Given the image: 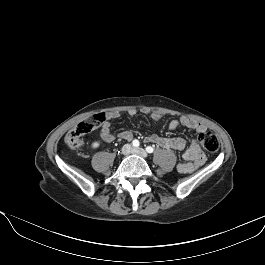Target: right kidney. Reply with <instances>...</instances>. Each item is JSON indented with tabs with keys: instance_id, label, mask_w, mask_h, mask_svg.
Returning a JSON list of instances; mask_svg holds the SVG:
<instances>
[{
	"instance_id": "ca27d5eb",
	"label": "right kidney",
	"mask_w": 265,
	"mask_h": 265,
	"mask_svg": "<svg viewBox=\"0 0 265 265\" xmlns=\"http://www.w3.org/2000/svg\"><path fill=\"white\" fill-rule=\"evenodd\" d=\"M99 146H100V143L97 142V141H95V142H93V143L91 144V147H92L93 149H96V148H98Z\"/></svg>"
}]
</instances>
